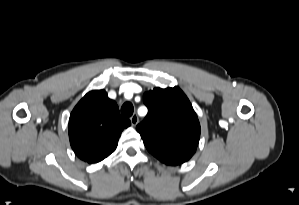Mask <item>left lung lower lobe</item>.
Returning <instances> with one entry per match:
<instances>
[{
    "label": "left lung lower lobe",
    "instance_id": "0a47b994",
    "mask_svg": "<svg viewBox=\"0 0 299 205\" xmlns=\"http://www.w3.org/2000/svg\"><path fill=\"white\" fill-rule=\"evenodd\" d=\"M158 160L167 165H179L189 160L195 153L196 148L186 146H170L160 148H148Z\"/></svg>",
    "mask_w": 299,
    "mask_h": 205
}]
</instances>
